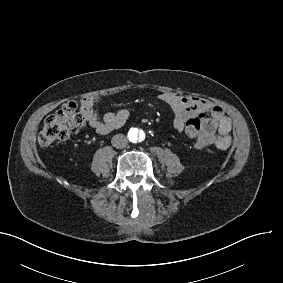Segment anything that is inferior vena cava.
I'll use <instances>...</instances> for the list:
<instances>
[{
  "instance_id": "obj_1",
  "label": "inferior vena cava",
  "mask_w": 283,
  "mask_h": 283,
  "mask_svg": "<svg viewBox=\"0 0 283 283\" xmlns=\"http://www.w3.org/2000/svg\"><path fill=\"white\" fill-rule=\"evenodd\" d=\"M112 145L117 149H124L128 145V138L123 134H116L112 138Z\"/></svg>"
}]
</instances>
